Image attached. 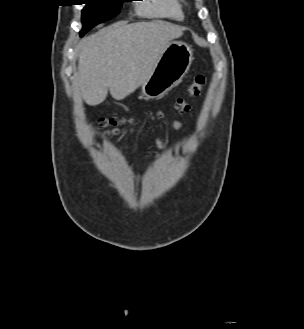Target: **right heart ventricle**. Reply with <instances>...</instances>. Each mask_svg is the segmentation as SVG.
<instances>
[{"mask_svg":"<svg viewBox=\"0 0 304 329\" xmlns=\"http://www.w3.org/2000/svg\"><path fill=\"white\" fill-rule=\"evenodd\" d=\"M139 12L146 16L179 20L183 17L180 0H143Z\"/></svg>","mask_w":304,"mask_h":329,"instance_id":"e07e8e85","label":"right heart ventricle"}]
</instances>
